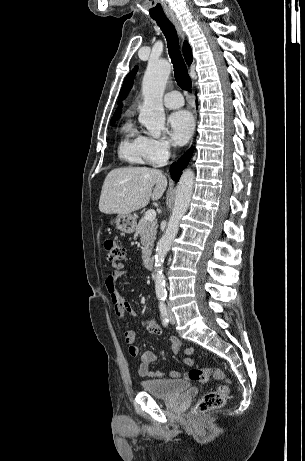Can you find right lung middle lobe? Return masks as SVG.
<instances>
[{
  "label": "right lung middle lobe",
  "instance_id": "obj_1",
  "mask_svg": "<svg viewBox=\"0 0 305 461\" xmlns=\"http://www.w3.org/2000/svg\"><path fill=\"white\" fill-rule=\"evenodd\" d=\"M114 122H115V121H112V122H111V125H113V124H114Z\"/></svg>",
  "mask_w": 305,
  "mask_h": 461
}]
</instances>
